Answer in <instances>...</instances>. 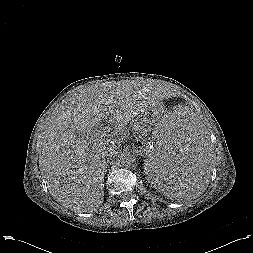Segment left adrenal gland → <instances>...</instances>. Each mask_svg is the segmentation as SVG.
<instances>
[{"mask_svg":"<svg viewBox=\"0 0 253 253\" xmlns=\"http://www.w3.org/2000/svg\"><path fill=\"white\" fill-rule=\"evenodd\" d=\"M139 155H143V150L140 148V149H137V151H136Z\"/></svg>","mask_w":253,"mask_h":253,"instance_id":"a2214340","label":"left adrenal gland"}]
</instances>
